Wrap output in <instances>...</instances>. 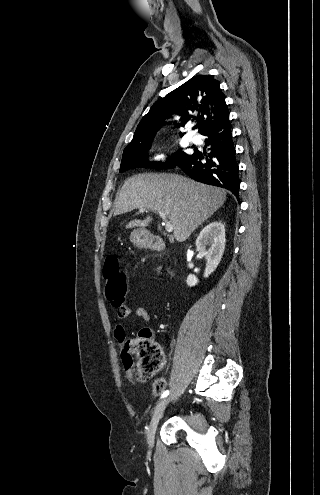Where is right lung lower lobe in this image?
I'll use <instances>...</instances> for the list:
<instances>
[{
	"label": "right lung lower lobe",
	"instance_id": "right-lung-lower-lobe-1",
	"mask_svg": "<svg viewBox=\"0 0 320 495\" xmlns=\"http://www.w3.org/2000/svg\"><path fill=\"white\" fill-rule=\"evenodd\" d=\"M202 135L207 137L205 143L211 151L205 154L206 163L201 162L204 158L202 152L195 150L177 166L196 181L225 188L239 198V168L229 118Z\"/></svg>",
	"mask_w": 320,
	"mask_h": 495
}]
</instances>
